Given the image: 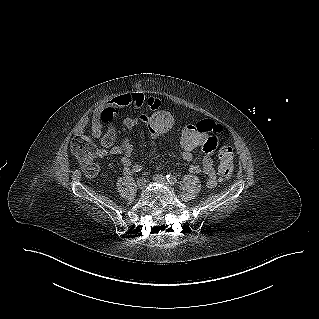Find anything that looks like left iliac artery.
Here are the masks:
<instances>
[{
    "label": "left iliac artery",
    "mask_w": 319,
    "mask_h": 319,
    "mask_svg": "<svg viewBox=\"0 0 319 319\" xmlns=\"http://www.w3.org/2000/svg\"><path fill=\"white\" fill-rule=\"evenodd\" d=\"M166 179H167L168 183H170L171 185H174L177 183V179L173 175H170V174L166 175Z\"/></svg>",
    "instance_id": "obj_1"
}]
</instances>
